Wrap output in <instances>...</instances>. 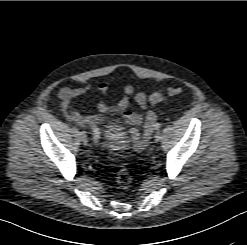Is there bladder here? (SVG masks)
I'll list each match as a JSON object with an SVG mask.
<instances>
[{"label":"bladder","mask_w":247,"mask_h":245,"mask_svg":"<svg viewBox=\"0 0 247 245\" xmlns=\"http://www.w3.org/2000/svg\"><path fill=\"white\" fill-rule=\"evenodd\" d=\"M113 117L105 123V131L102 139L104 149L111 152H120L125 147V140L120 133L113 129Z\"/></svg>","instance_id":"1"}]
</instances>
